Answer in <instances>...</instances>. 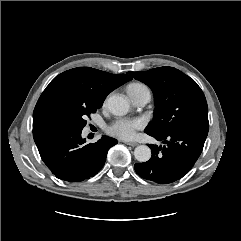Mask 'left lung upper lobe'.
I'll use <instances>...</instances> for the list:
<instances>
[{"label":"left lung upper lobe","instance_id":"obj_1","mask_svg":"<svg viewBox=\"0 0 241 241\" xmlns=\"http://www.w3.org/2000/svg\"><path fill=\"white\" fill-rule=\"evenodd\" d=\"M148 85L155 96L156 110L145 132L168 134L194 125H208V106L201 88L173 67L129 72Z\"/></svg>","mask_w":241,"mask_h":241}]
</instances>
